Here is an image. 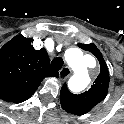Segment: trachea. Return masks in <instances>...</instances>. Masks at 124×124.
<instances>
[{
    "label": "trachea",
    "mask_w": 124,
    "mask_h": 124,
    "mask_svg": "<svg viewBox=\"0 0 124 124\" xmlns=\"http://www.w3.org/2000/svg\"><path fill=\"white\" fill-rule=\"evenodd\" d=\"M64 64L62 57H56L51 61V65L55 70H60Z\"/></svg>",
    "instance_id": "trachea-1"
}]
</instances>
